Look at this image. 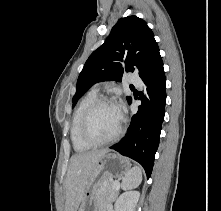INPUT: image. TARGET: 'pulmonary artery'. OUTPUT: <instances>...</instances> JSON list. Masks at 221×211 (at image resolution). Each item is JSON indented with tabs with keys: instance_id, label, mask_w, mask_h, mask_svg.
I'll list each match as a JSON object with an SVG mask.
<instances>
[{
	"instance_id": "e3ab8cb5",
	"label": "pulmonary artery",
	"mask_w": 221,
	"mask_h": 211,
	"mask_svg": "<svg viewBox=\"0 0 221 211\" xmlns=\"http://www.w3.org/2000/svg\"><path fill=\"white\" fill-rule=\"evenodd\" d=\"M128 82L130 84L136 85V86H140L142 84V80L140 79V77H138L135 74H131L128 76Z\"/></svg>"
}]
</instances>
